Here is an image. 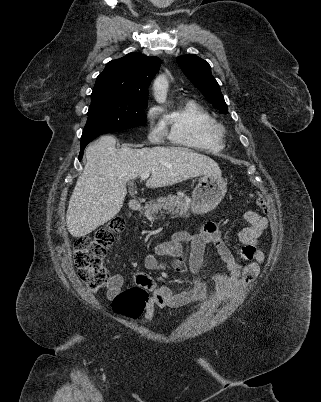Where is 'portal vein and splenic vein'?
Listing matches in <instances>:
<instances>
[{
  "mask_svg": "<svg viewBox=\"0 0 321 402\" xmlns=\"http://www.w3.org/2000/svg\"><path fill=\"white\" fill-rule=\"evenodd\" d=\"M140 177H141L142 180H145V179H147V178L149 177V173H148V172H144V173L141 174Z\"/></svg>",
  "mask_w": 321,
  "mask_h": 402,
  "instance_id": "obj_1",
  "label": "portal vein and splenic vein"
}]
</instances>
